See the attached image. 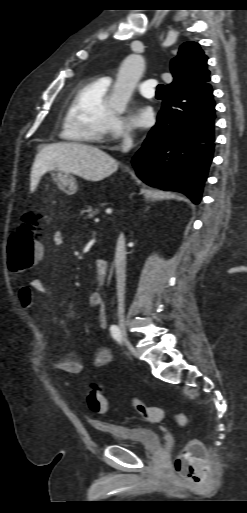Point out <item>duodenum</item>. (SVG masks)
Wrapping results in <instances>:
<instances>
[{
  "label": "duodenum",
  "mask_w": 247,
  "mask_h": 513,
  "mask_svg": "<svg viewBox=\"0 0 247 513\" xmlns=\"http://www.w3.org/2000/svg\"><path fill=\"white\" fill-rule=\"evenodd\" d=\"M95 278L98 281H105L107 277V261L105 259H97L94 263Z\"/></svg>",
  "instance_id": "410a0bca"
}]
</instances>
